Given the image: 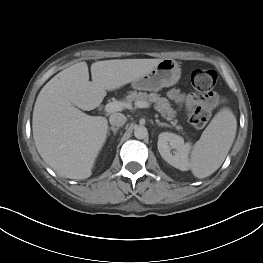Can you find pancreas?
Returning <instances> with one entry per match:
<instances>
[{
  "mask_svg": "<svg viewBox=\"0 0 263 263\" xmlns=\"http://www.w3.org/2000/svg\"><path fill=\"white\" fill-rule=\"evenodd\" d=\"M127 104H132V102L146 101L149 103H154V108L168 121H170L172 126H175L177 130H182L180 125H177V120L175 119L176 111L171 107L167 98L160 97L157 93L147 94L146 92L131 91L126 96L124 100Z\"/></svg>",
  "mask_w": 263,
  "mask_h": 263,
  "instance_id": "pancreas-1",
  "label": "pancreas"
}]
</instances>
